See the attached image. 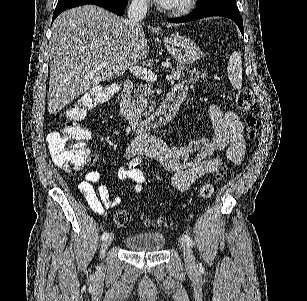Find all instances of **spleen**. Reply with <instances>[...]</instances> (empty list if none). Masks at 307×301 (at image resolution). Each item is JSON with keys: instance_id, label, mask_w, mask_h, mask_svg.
I'll return each mask as SVG.
<instances>
[{"instance_id": "1", "label": "spleen", "mask_w": 307, "mask_h": 301, "mask_svg": "<svg viewBox=\"0 0 307 301\" xmlns=\"http://www.w3.org/2000/svg\"><path fill=\"white\" fill-rule=\"evenodd\" d=\"M227 74L233 88H241L242 86V58L240 52H232L230 54Z\"/></svg>"}]
</instances>
